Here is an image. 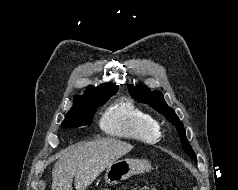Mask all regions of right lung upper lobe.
<instances>
[{
  "instance_id": "1",
  "label": "right lung upper lobe",
  "mask_w": 238,
  "mask_h": 190,
  "mask_svg": "<svg viewBox=\"0 0 238 190\" xmlns=\"http://www.w3.org/2000/svg\"><path fill=\"white\" fill-rule=\"evenodd\" d=\"M118 86L113 83H105L98 87L90 86L84 93L83 96L76 95L74 97V105L72 108L80 107L83 105L84 100L92 98L101 94H108L112 92H116Z\"/></svg>"
}]
</instances>
